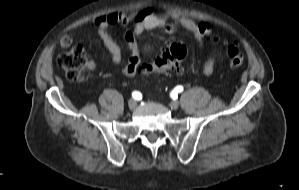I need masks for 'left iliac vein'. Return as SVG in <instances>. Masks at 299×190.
I'll list each match as a JSON object with an SVG mask.
<instances>
[{
	"instance_id": "left-iliac-vein-1",
	"label": "left iliac vein",
	"mask_w": 299,
	"mask_h": 190,
	"mask_svg": "<svg viewBox=\"0 0 299 190\" xmlns=\"http://www.w3.org/2000/svg\"><path fill=\"white\" fill-rule=\"evenodd\" d=\"M169 106H170L171 109L176 110V109L179 108V103L177 101H171L169 103Z\"/></svg>"
}]
</instances>
